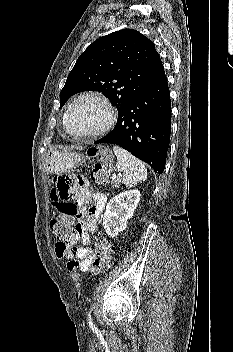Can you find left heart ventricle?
I'll return each instance as SVG.
<instances>
[{"mask_svg": "<svg viewBox=\"0 0 233 352\" xmlns=\"http://www.w3.org/2000/svg\"><path fill=\"white\" fill-rule=\"evenodd\" d=\"M107 118V111L95 100H82L77 103L70 114L72 129L78 133H88L99 128Z\"/></svg>", "mask_w": 233, "mask_h": 352, "instance_id": "1", "label": "left heart ventricle"}]
</instances>
